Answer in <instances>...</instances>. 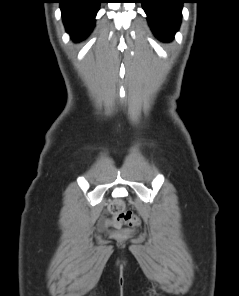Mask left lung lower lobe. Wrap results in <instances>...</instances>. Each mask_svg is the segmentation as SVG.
Returning a JSON list of instances; mask_svg holds the SVG:
<instances>
[{
    "instance_id": "0a47b994",
    "label": "left lung lower lobe",
    "mask_w": 239,
    "mask_h": 296,
    "mask_svg": "<svg viewBox=\"0 0 239 296\" xmlns=\"http://www.w3.org/2000/svg\"><path fill=\"white\" fill-rule=\"evenodd\" d=\"M149 25L158 39L171 41L179 29L185 0H140Z\"/></svg>"
}]
</instances>
